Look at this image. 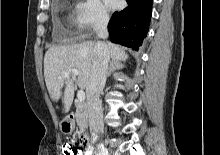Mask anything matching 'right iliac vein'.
<instances>
[{"mask_svg": "<svg viewBox=\"0 0 220 155\" xmlns=\"http://www.w3.org/2000/svg\"><path fill=\"white\" fill-rule=\"evenodd\" d=\"M101 155H108V154L104 152V153H102Z\"/></svg>", "mask_w": 220, "mask_h": 155, "instance_id": "1", "label": "right iliac vein"}]
</instances>
